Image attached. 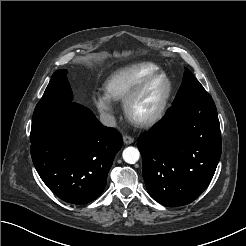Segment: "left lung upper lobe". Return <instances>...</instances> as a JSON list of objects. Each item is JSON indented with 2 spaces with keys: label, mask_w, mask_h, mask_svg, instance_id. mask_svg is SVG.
Listing matches in <instances>:
<instances>
[{
  "label": "left lung upper lobe",
  "mask_w": 246,
  "mask_h": 246,
  "mask_svg": "<svg viewBox=\"0 0 246 246\" xmlns=\"http://www.w3.org/2000/svg\"><path fill=\"white\" fill-rule=\"evenodd\" d=\"M208 94L200 82L194 77L190 70L185 69L183 83L176 95L173 105L180 103L188 98Z\"/></svg>",
  "instance_id": "obj_1"
}]
</instances>
